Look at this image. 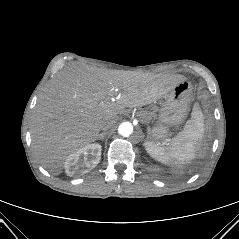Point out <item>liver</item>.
Instances as JSON below:
<instances>
[{
  "label": "liver",
  "mask_w": 239,
  "mask_h": 239,
  "mask_svg": "<svg viewBox=\"0 0 239 239\" xmlns=\"http://www.w3.org/2000/svg\"><path fill=\"white\" fill-rule=\"evenodd\" d=\"M185 77L74 66L54 77L40 96L31 122L32 147L53 175L67 157L95 141L101 124L126 107H142L167 95Z\"/></svg>",
  "instance_id": "obj_1"
}]
</instances>
